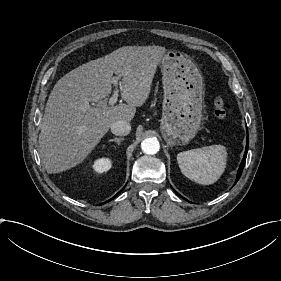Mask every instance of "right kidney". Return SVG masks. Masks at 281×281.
Listing matches in <instances>:
<instances>
[{"label":"right kidney","mask_w":281,"mask_h":281,"mask_svg":"<svg viewBox=\"0 0 281 281\" xmlns=\"http://www.w3.org/2000/svg\"><path fill=\"white\" fill-rule=\"evenodd\" d=\"M89 165L94 175H102L112 168L113 161L109 156L104 155L89 162Z\"/></svg>","instance_id":"right-kidney-1"}]
</instances>
